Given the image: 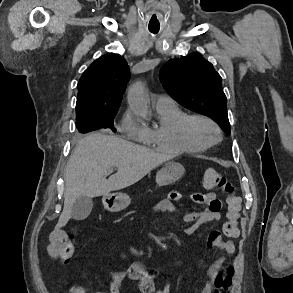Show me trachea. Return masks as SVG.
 <instances>
[{
    "instance_id": "3493384b",
    "label": "trachea",
    "mask_w": 293,
    "mask_h": 293,
    "mask_svg": "<svg viewBox=\"0 0 293 293\" xmlns=\"http://www.w3.org/2000/svg\"><path fill=\"white\" fill-rule=\"evenodd\" d=\"M149 31L153 34H157L159 29H149Z\"/></svg>"
}]
</instances>
